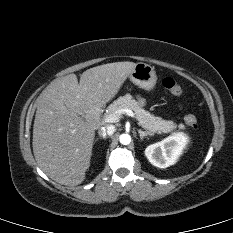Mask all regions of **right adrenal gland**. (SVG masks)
<instances>
[{"label": "right adrenal gland", "instance_id": "1", "mask_svg": "<svg viewBox=\"0 0 233 233\" xmlns=\"http://www.w3.org/2000/svg\"><path fill=\"white\" fill-rule=\"evenodd\" d=\"M98 139H105V137L98 136V137L96 138V140H98Z\"/></svg>", "mask_w": 233, "mask_h": 233}]
</instances>
